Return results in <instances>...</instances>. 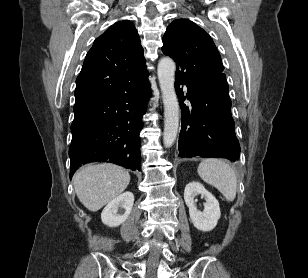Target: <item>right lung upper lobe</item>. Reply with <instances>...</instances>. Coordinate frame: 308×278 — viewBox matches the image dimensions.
<instances>
[{"instance_id":"obj_1","label":"right lung upper lobe","mask_w":308,"mask_h":278,"mask_svg":"<svg viewBox=\"0 0 308 278\" xmlns=\"http://www.w3.org/2000/svg\"><path fill=\"white\" fill-rule=\"evenodd\" d=\"M135 26L119 21L98 37L76 79L75 105L123 94L136 87L148 72Z\"/></svg>"}]
</instances>
